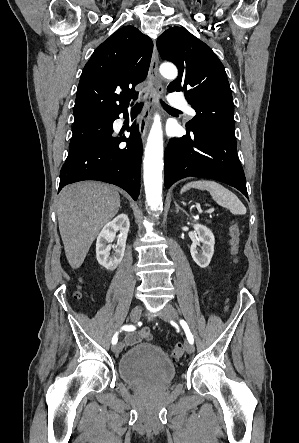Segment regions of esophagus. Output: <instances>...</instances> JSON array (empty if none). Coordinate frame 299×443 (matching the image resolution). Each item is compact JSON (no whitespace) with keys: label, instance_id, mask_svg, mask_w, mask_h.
<instances>
[{"label":"esophagus","instance_id":"obj_1","mask_svg":"<svg viewBox=\"0 0 299 443\" xmlns=\"http://www.w3.org/2000/svg\"><path fill=\"white\" fill-rule=\"evenodd\" d=\"M158 63V50L156 47V43H154L148 74L149 90L146 93L145 105L143 108L142 118L139 127L140 136L143 142L145 141L147 130L150 125L152 112L158 105V97L163 93V86L158 76Z\"/></svg>","mask_w":299,"mask_h":443}]
</instances>
